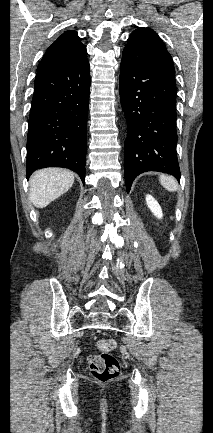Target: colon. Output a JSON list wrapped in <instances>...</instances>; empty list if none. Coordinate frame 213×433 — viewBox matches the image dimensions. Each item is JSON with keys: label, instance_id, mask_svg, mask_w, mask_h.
<instances>
[{"label": "colon", "instance_id": "colon-1", "mask_svg": "<svg viewBox=\"0 0 213 433\" xmlns=\"http://www.w3.org/2000/svg\"><path fill=\"white\" fill-rule=\"evenodd\" d=\"M114 339L101 338L96 342L97 349L101 352L90 357L89 369L91 375L101 382H108L120 374V364L111 354L116 348Z\"/></svg>", "mask_w": 213, "mask_h": 433}]
</instances>
